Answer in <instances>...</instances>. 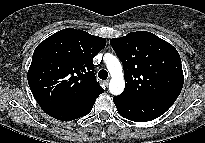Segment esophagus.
Instances as JSON below:
<instances>
[{"label": "esophagus", "mask_w": 205, "mask_h": 143, "mask_svg": "<svg viewBox=\"0 0 205 143\" xmlns=\"http://www.w3.org/2000/svg\"><path fill=\"white\" fill-rule=\"evenodd\" d=\"M103 83H104L105 86H108V84H109V80H104Z\"/></svg>", "instance_id": "esophagus-1"}]
</instances>
